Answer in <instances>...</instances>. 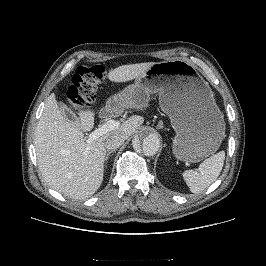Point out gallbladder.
<instances>
[{"label":"gallbladder","mask_w":266,"mask_h":266,"mask_svg":"<svg viewBox=\"0 0 266 266\" xmlns=\"http://www.w3.org/2000/svg\"><path fill=\"white\" fill-rule=\"evenodd\" d=\"M60 109L62 111V113L64 114V116L70 120V121H75L77 119V117L75 116V114L67 107L66 104L60 102L59 103Z\"/></svg>","instance_id":"obj_1"}]
</instances>
